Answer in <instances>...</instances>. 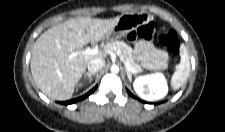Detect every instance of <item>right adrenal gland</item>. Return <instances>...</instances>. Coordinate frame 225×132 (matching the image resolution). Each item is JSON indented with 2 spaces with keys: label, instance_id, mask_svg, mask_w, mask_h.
<instances>
[{
  "label": "right adrenal gland",
  "instance_id": "obj_1",
  "mask_svg": "<svg viewBox=\"0 0 225 132\" xmlns=\"http://www.w3.org/2000/svg\"><path fill=\"white\" fill-rule=\"evenodd\" d=\"M95 75V72H85L84 77L88 76L90 78V81H92V76Z\"/></svg>",
  "mask_w": 225,
  "mask_h": 132
}]
</instances>
